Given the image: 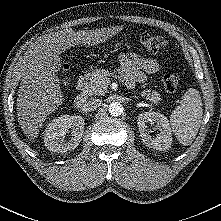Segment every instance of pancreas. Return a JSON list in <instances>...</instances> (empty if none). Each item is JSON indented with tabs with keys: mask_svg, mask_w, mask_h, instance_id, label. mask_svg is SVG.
Here are the masks:
<instances>
[{
	"mask_svg": "<svg viewBox=\"0 0 221 221\" xmlns=\"http://www.w3.org/2000/svg\"><path fill=\"white\" fill-rule=\"evenodd\" d=\"M111 72L105 69L95 70L90 78V81L86 84L84 93L86 95H104L107 92V87L110 83ZM141 96L146 98L152 103L158 104L160 94L157 91H151L147 89L142 91Z\"/></svg>",
	"mask_w": 221,
	"mask_h": 221,
	"instance_id": "cf45deb5",
	"label": "pancreas"
}]
</instances>
